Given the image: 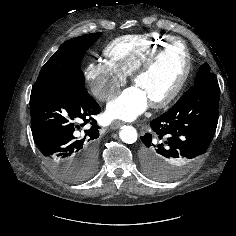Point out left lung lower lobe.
Instances as JSON below:
<instances>
[{"label":"left lung lower lobe","mask_w":236,"mask_h":236,"mask_svg":"<svg viewBox=\"0 0 236 236\" xmlns=\"http://www.w3.org/2000/svg\"><path fill=\"white\" fill-rule=\"evenodd\" d=\"M219 98L215 79L202 80L151 121L152 130L140 137L142 168L148 176L169 180L200 161L216 131Z\"/></svg>","instance_id":"obj_1"}]
</instances>
